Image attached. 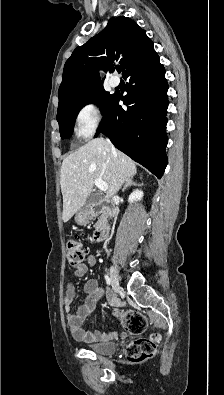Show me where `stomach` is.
Listing matches in <instances>:
<instances>
[{
  "mask_svg": "<svg viewBox=\"0 0 224 395\" xmlns=\"http://www.w3.org/2000/svg\"><path fill=\"white\" fill-rule=\"evenodd\" d=\"M89 220V214L84 211V210H80L79 212H77V214L75 215V221L79 224V225H84L88 222Z\"/></svg>",
  "mask_w": 224,
  "mask_h": 395,
  "instance_id": "1",
  "label": "stomach"
}]
</instances>
